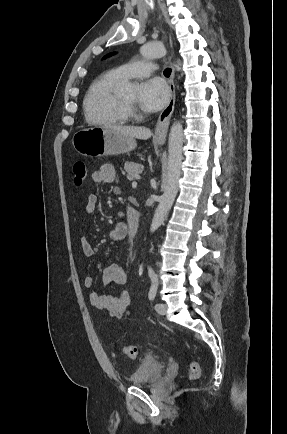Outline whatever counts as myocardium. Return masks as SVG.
Segmentation results:
<instances>
[{
  "label": "myocardium",
  "mask_w": 287,
  "mask_h": 434,
  "mask_svg": "<svg viewBox=\"0 0 287 434\" xmlns=\"http://www.w3.org/2000/svg\"><path fill=\"white\" fill-rule=\"evenodd\" d=\"M120 101H121L124 109L127 111L128 114H132L134 112V110H135L134 103L128 102L122 96H120Z\"/></svg>",
  "instance_id": "1"
}]
</instances>
